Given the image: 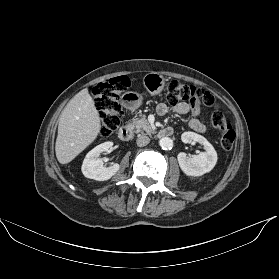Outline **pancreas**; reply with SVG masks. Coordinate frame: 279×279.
Returning <instances> with one entry per match:
<instances>
[{"instance_id": "cf45deb5", "label": "pancreas", "mask_w": 279, "mask_h": 279, "mask_svg": "<svg viewBox=\"0 0 279 279\" xmlns=\"http://www.w3.org/2000/svg\"><path fill=\"white\" fill-rule=\"evenodd\" d=\"M129 127L134 128L136 132L145 131L148 134L154 132V127L148 122L145 116L133 119V122L129 124Z\"/></svg>"}]
</instances>
